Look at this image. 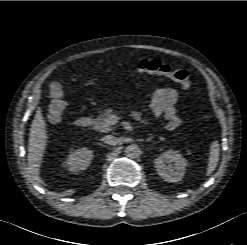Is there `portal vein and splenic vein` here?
<instances>
[{
	"label": "portal vein and splenic vein",
	"mask_w": 247,
	"mask_h": 245,
	"mask_svg": "<svg viewBox=\"0 0 247 245\" xmlns=\"http://www.w3.org/2000/svg\"><path fill=\"white\" fill-rule=\"evenodd\" d=\"M119 120H120V118L117 116V115H111V117H110V122L112 123V124H116L117 122H119Z\"/></svg>",
	"instance_id": "portal-vein-and-splenic-vein-1"
}]
</instances>
